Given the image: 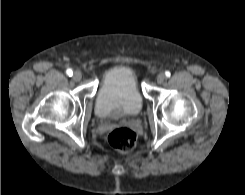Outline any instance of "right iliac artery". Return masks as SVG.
<instances>
[{"label": "right iliac artery", "instance_id": "82829eb1", "mask_svg": "<svg viewBox=\"0 0 245 195\" xmlns=\"http://www.w3.org/2000/svg\"><path fill=\"white\" fill-rule=\"evenodd\" d=\"M66 74H67L68 76H72L73 71H72L71 69H67V70H66Z\"/></svg>", "mask_w": 245, "mask_h": 195}]
</instances>
